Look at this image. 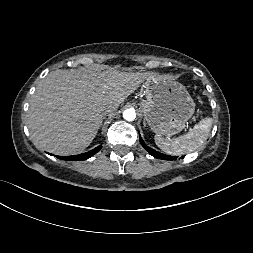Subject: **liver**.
I'll list each match as a JSON object with an SVG mask.
<instances>
[{
  "instance_id": "6515ba94",
  "label": "liver",
  "mask_w": 253,
  "mask_h": 253,
  "mask_svg": "<svg viewBox=\"0 0 253 253\" xmlns=\"http://www.w3.org/2000/svg\"><path fill=\"white\" fill-rule=\"evenodd\" d=\"M149 77L144 72L52 71L36 88L27 115L33 142L56 155L84 151L108 105H119Z\"/></svg>"
}]
</instances>
